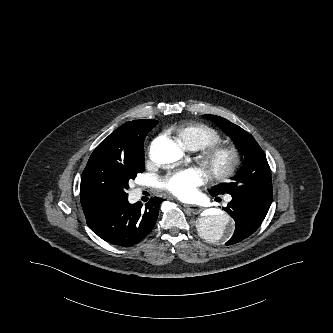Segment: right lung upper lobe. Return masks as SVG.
<instances>
[{
  "mask_svg": "<svg viewBox=\"0 0 333 333\" xmlns=\"http://www.w3.org/2000/svg\"><path fill=\"white\" fill-rule=\"evenodd\" d=\"M144 123L142 120H134L120 126L117 130L105 138L93 151L88 162L100 156H112L125 158L136 154L143 147ZM80 200L83 210L94 207L102 201L91 198L80 186Z\"/></svg>",
  "mask_w": 333,
  "mask_h": 333,
  "instance_id": "1",
  "label": "right lung upper lobe"
}]
</instances>
